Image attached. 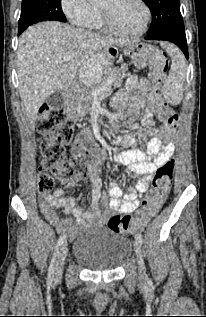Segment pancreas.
<instances>
[{
	"instance_id": "1",
	"label": "pancreas",
	"mask_w": 206,
	"mask_h": 317,
	"mask_svg": "<svg viewBox=\"0 0 206 317\" xmlns=\"http://www.w3.org/2000/svg\"><path fill=\"white\" fill-rule=\"evenodd\" d=\"M126 62H121V67L111 68L110 72H105L103 76H99L100 81L93 83V85L88 84L87 86H82L78 90L71 103L73 108V114L77 117H84L89 111L93 100L92 93H97L98 89L100 91H112V88L119 87L122 83L124 77L128 76ZM89 76V75H85ZM112 78V83H109V88H107V82Z\"/></svg>"
}]
</instances>
